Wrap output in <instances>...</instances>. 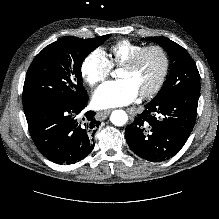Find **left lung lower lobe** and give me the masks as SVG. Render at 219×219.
I'll return each instance as SVG.
<instances>
[{
    "instance_id": "left-lung-lower-lobe-1",
    "label": "left lung lower lobe",
    "mask_w": 219,
    "mask_h": 219,
    "mask_svg": "<svg viewBox=\"0 0 219 219\" xmlns=\"http://www.w3.org/2000/svg\"><path fill=\"white\" fill-rule=\"evenodd\" d=\"M200 91H185L164 101H150L126 128L130 149L148 161L176 155L195 124Z\"/></svg>"
}]
</instances>
